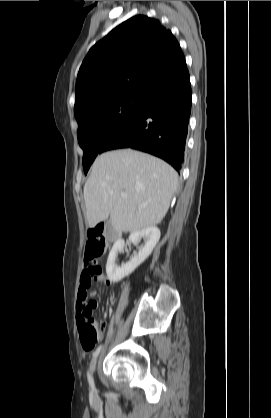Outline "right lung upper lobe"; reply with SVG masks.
<instances>
[{"label": "right lung upper lobe", "mask_w": 271, "mask_h": 418, "mask_svg": "<svg viewBox=\"0 0 271 418\" xmlns=\"http://www.w3.org/2000/svg\"><path fill=\"white\" fill-rule=\"evenodd\" d=\"M185 66L170 30L156 19L134 16L90 49L79 69L74 112L126 93L150 99Z\"/></svg>", "instance_id": "right-lung-upper-lobe-1"}]
</instances>
